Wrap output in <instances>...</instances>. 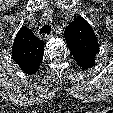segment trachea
I'll use <instances>...</instances> for the list:
<instances>
[{
  "instance_id": "1",
  "label": "trachea",
  "mask_w": 113,
  "mask_h": 113,
  "mask_svg": "<svg viewBox=\"0 0 113 113\" xmlns=\"http://www.w3.org/2000/svg\"><path fill=\"white\" fill-rule=\"evenodd\" d=\"M51 32V26L50 25H44L41 29H40V35L41 34H47L49 35Z\"/></svg>"
}]
</instances>
